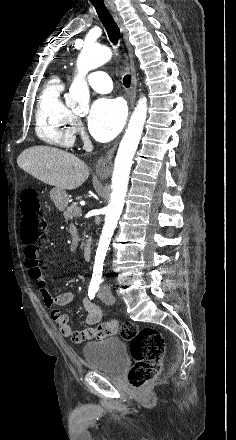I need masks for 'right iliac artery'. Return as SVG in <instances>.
<instances>
[{
  "instance_id": "1",
  "label": "right iliac artery",
  "mask_w": 236,
  "mask_h": 440,
  "mask_svg": "<svg viewBox=\"0 0 236 440\" xmlns=\"http://www.w3.org/2000/svg\"><path fill=\"white\" fill-rule=\"evenodd\" d=\"M98 291V287L94 285H90L88 287V296L92 300L95 297L96 292Z\"/></svg>"
}]
</instances>
